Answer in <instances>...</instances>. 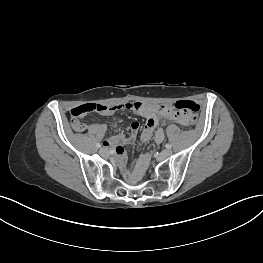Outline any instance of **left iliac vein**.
Instances as JSON below:
<instances>
[{
	"mask_svg": "<svg viewBox=\"0 0 263 263\" xmlns=\"http://www.w3.org/2000/svg\"><path fill=\"white\" fill-rule=\"evenodd\" d=\"M172 154V150H170V149H165V150H163L162 152H161V157L162 158H167V157H169L170 155Z\"/></svg>",
	"mask_w": 263,
	"mask_h": 263,
	"instance_id": "left-iliac-vein-1",
	"label": "left iliac vein"
}]
</instances>
